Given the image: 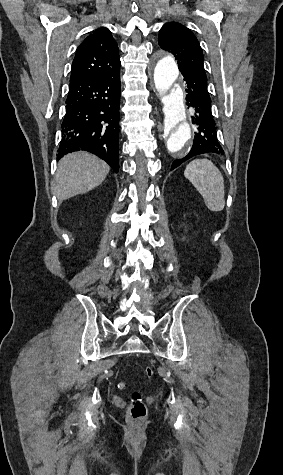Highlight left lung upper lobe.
<instances>
[{"mask_svg": "<svg viewBox=\"0 0 283 475\" xmlns=\"http://www.w3.org/2000/svg\"><path fill=\"white\" fill-rule=\"evenodd\" d=\"M158 42L162 49L175 56L179 70L193 69L205 72L199 42L185 26L175 22L166 23L159 32Z\"/></svg>", "mask_w": 283, "mask_h": 475, "instance_id": "5c2ea615", "label": "left lung upper lobe"}]
</instances>
